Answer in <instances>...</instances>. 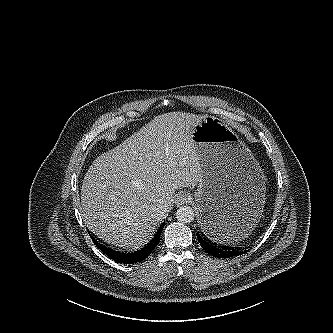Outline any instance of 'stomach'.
I'll return each instance as SVG.
<instances>
[{"instance_id": "stomach-1", "label": "stomach", "mask_w": 333, "mask_h": 333, "mask_svg": "<svg viewBox=\"0 0 333 333\" xmlns=\"http://www.w3.org/2000/svg\"><path fill=\"white\" fill-rule=\"evenodd\" d=\"M201 179L195 192L200 226L223 244L247 238L265 202V176L252 151L221 119L207 116L192 131Z\"/></svg>"}]
</instances>
